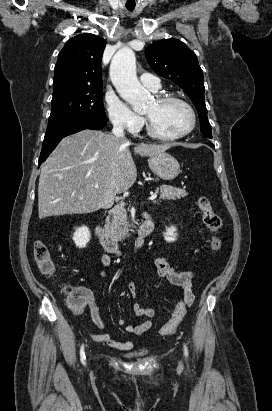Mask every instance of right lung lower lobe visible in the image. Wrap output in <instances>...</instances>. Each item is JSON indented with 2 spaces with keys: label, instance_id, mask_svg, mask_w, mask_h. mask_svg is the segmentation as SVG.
<instances>
[{
  "label": "right lung lower lobe",
  "instance_id": "98d812e1",
  "mask_svg": "<svg viewBox=\"0 0 272 411\" xmlns=\"http://www.w3.org/2000/svg\"><path fill=\"white\" fill-rule=\"evenodd\" d=\"M106 124L107 121L80 119L46 132L39 157V166L47 159L62 138L84 129L100 130Z\"/></svg>",
  "mask_w": 272,
  "mask_h": 411
}]
</instances>
